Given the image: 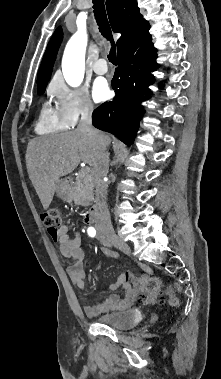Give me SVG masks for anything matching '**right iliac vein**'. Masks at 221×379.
I'll use <instances>...</instances> for the list:
<instances>
[{
    "label": "right iliac vein",
    "instance_id": "obj_1",
    "mask_svg": "<svg viewBox=\"0 0 221 379\" xmlns=\"http://www.w3.org/2000/svg\"><path fill=\"white\" fill-rule=\"evenodd\" d=\"M105 241L110 245H114V246L118 247L120 250H122L125 253L130 252L129 246L123 240L118 238L117 236H114V235L108 236L105 239Z\"/></svg>",
    "mask_w": 221,
    "mask_h": 379
}]
</instances>
